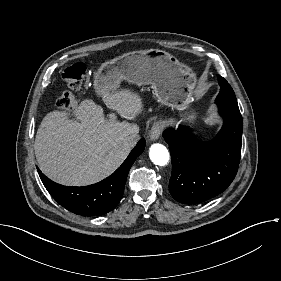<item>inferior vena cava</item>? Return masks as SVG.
<instances>
[{
    "label": "inferior vena cava",
    "mask_w": 281,
    "mask_h": 281,
    "mask_svg": "<svg viewBox=\"0 0 281 281\" xmlns=\"http://www.w3.org/2000/svg\"><path fill=\"white\" fill-rule=\"evenodd\" d=\"M121 139L125 142V143H130L133 144L138 140V135H133V134H123L121 136Z\"/></svg>",
    "instance_id": "1"
}]
</instances>
